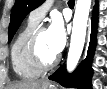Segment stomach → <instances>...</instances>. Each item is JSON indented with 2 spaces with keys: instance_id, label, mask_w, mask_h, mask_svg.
Masks as SVG:
<instances>
[{
  "instance_id": "1",
  "label": "stomach",
  "mask_w": 107,
  "mask_h": 89,
  "mask_svg": "<svg viewBox=\"0 0 107 89\" xmlns=\"http://www.w3.org/2000/svg\"><path fill=\"white\" fill-rule=\"evenodd\" d=\"M41 89H57V87L51 83L45 85L44 87H42Z\"/></svg>"
}]
</instances>
